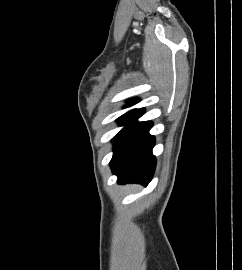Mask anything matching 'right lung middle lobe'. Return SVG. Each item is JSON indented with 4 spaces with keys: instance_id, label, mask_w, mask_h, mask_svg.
Returning <instances> with one entry per match:
<instances>
[{
    "instance_id": "obj_1",
    "label": "right lung middle lobe",
    "mask_w": 242,
    "mask_h": 270,
    "mask_svg": "<svg viewBox=\"0 0 242 270\" xmlns=\"http://www.w3.org/2000/svg\"><path fill=\"white\" fill-rule=\"evenodd\" d=\"M135 110H131L129 112H127L126 114L122 115L121 117H119L117 119V121L120 123V125H124L128 120L129 118L131 117V115L134 113ZM118 135V134H117ZM116 135V136H117ZM116 136L113 138V141L115 140Z\"/></svg>"
}]
</instances>
